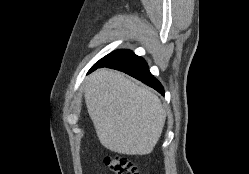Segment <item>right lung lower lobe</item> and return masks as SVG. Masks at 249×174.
<instances>
[{
  "mask_svg": "<svg viewBox=\"0 0 249 174\" xmlns=\"http://www.w3.org/2000/svg\"><path fill=\"white\" fill-rule=\"evenodd\" d=\"M108 67L113 68L122 72H125L132 77L142 81L148 86L154 88L159 93L164 95V89L160 82L154 78V76L149 72L148 65L146 61L135 55L133 52H129L124 55L121 59L113 62H97L88 73L94 71L97 68Z\"/></svg>",
  "mask_w": 249,
  "mask_h": 174,
  "instance_id": "98d812e1",
  "label": "right lung lower lobe"
}]
</instances>
